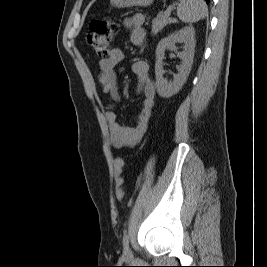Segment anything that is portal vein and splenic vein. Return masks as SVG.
Wrapping results in <instances>:
<instances>
[{
  "mask_svg": "<svg viewBox=\"0 0 267 267\" xmlns=\"http://www.w3.org/2000/svg\"><path fill=\"white\" fill-rule=\"evenodd\" d=\"M171 10H172V7H169L165 12H164V15L166 17H169L171 15Z\"/></svg>",
  "mask_w": 267,
  "mask_h": 267,
  "instance_id": "portal-vein-and-splenic-vein-1",
  "label": "portal vein and splenic vein"
}]
</instances>
